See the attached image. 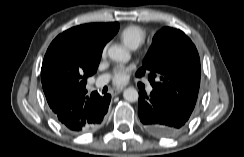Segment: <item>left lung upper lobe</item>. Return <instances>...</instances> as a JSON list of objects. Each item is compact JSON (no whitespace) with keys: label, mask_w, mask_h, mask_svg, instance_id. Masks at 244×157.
Returning <instances> with one entry per match:
<instances>
[{"label":"left lung upper lobe","mask_w":244,"mask_h":157,"mask_svg":"<svg viewBox=\"0 0 244 157\" xmlns=\"http://www.w3.org/2000/svg\"><path fill=\"white\" fill-rule=\"evenodd\" d=\"M146 71L154 88L194 113L199 98L200 58L184 32L164 27L156 33L136 76L141 77Z\"/></svg>","instance_id":"5c2ea615"}]
</instances>
